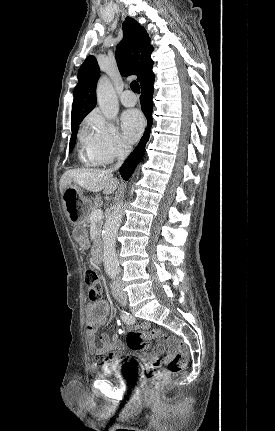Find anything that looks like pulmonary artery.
<instances>
[{
  "label": "pulmonary artery",
  "mask_w": 275,
  "mask_h": 431,
  "mask_svg": "<svg viewBox=\"0 0 275 431\" xmlns=\"http://www.w3.org/2000/svg\"><path fill=\"white\" fill-rule=\"evenodd\" d=\"M120 100L126 107H132L137 103V97L130 90L124 91L121 94Z\"/></svg>",
  "instance_id": "1"
}]
</instances>
